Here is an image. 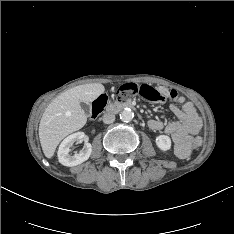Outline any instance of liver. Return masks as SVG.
Masks as SVG:
<instances>
[{"mask_svg":"<svg viewBox=\"0 0 234 234\" xmlns=\"http://www.w3.org/2000/svg\"><path fill=\"white\" fill-rule=\"evenodd\" d=\"M100 83L79 85L71 88L47 106L39 124V138L44 155L51 158L63 138L81 129L87 115L80 103H90L104 93Z\"/></svg>","mask_w":234,"mask_h":234,"instance_id":"6515ba94","label":"liver"}]
</instances>
